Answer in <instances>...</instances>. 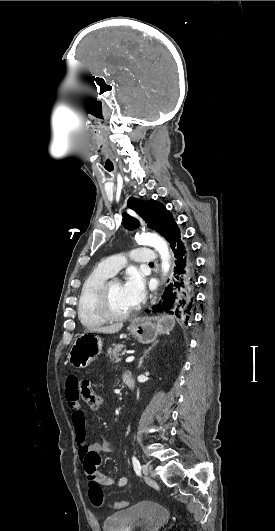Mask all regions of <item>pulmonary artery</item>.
<instances>
[{"instance_id":"pulmonary-artery-1","label":"pulmonary artery","mask_w":275,"mask_h":531,"mask_svg":"<svg viewBox=\"0 0 275 531\" xmlns=\"http://www.w3.org/2000/svg\"><path fill=\"white\" fill-rule=\"evenodd\" d=\"M128 256L133 258V262L137 263L138 265H147L153 262V259L156 258L157 253L153 249H138L128 253ZM125 260L126 259L124 255L111 254L107 258V261H98L97 270L98 272H107L111 275L117 276L120 274V268L125 263Z\"/></svg>"}]
</instances>
